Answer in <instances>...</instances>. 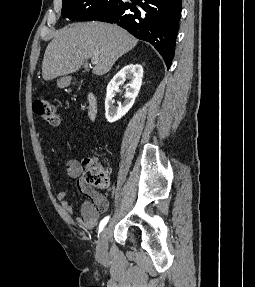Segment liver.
<instances>
[{"label": "liver", "mask_w": 255, "mask_h": 287, "mask_svg": "<svg viewBox=\"0 0 255 287\" xmlns=\"http://www.w3.org/2000/svg\"><path fill=\"white\" fill-rule=\"evenodd\" d=\"M138 40L115 24L86 22L59 30L48 44L43 62V80L78 72L84 60L98 58L93 74L103 76L118 58L135 48Z\"/></svg>", "instance_id": "liver-1"}]
</instances>
